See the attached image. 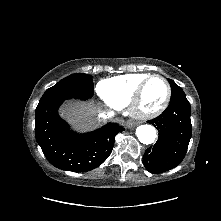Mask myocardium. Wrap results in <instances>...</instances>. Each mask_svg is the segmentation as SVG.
Segmentation results:
<instances>
[{"label":"myocardium","instance_id":"myocardium-1","mask_svg":"<svg viewBox=\"0 0 221 221\" xmlns=\"http://www.w3.org/2000/svg\"><path fill=\"white\" fill-rule=\"evenodd\" d=\"M154 78H159L160 80L163 81V83L166 86V96L159 106H157L156 108H154L152 110L147 111V110H144L141 106L142 96H143L146 86L148 85L150 80H152ZM171 94H172V90H171V86H170V83L168 82V80L159 74H151V75L147 76L141 82V84L138 86V88L136 89V91H135V93L129 103L130 114L135 119H138V120L150 119V118L160 114L168 106L170 99H171Z\"/></svg>","mask_w":221,"mask_h":221}]
</instances>
